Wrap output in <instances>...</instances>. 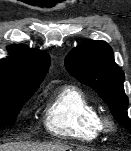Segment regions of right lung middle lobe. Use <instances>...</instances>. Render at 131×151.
<instances>
[{
	"mask_svg": "<svg viewBox=\"0 0 131 151\" xmlns=\"http://www.w3.org/2000/svg\"><path fill=\"white\" fill-rule=\"evenodd\" d=\"M37 88L0 85V128L15 123L23 104Z\"/></svg>",
	"mask_w": 131,
	"mask_h": 151,
	"instance_id": "right-lung-middle-lobe-1",
	"label": "right lung middle lobe"
}]
</instances>
